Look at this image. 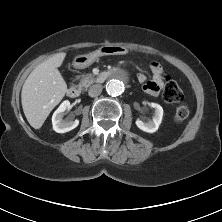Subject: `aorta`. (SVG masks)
<instances>
[{"instance_id":"1","label":"aorta","mask_w":222,"mask_h":222,"mask_svg":"<svg viewBox=\"0 0 222 222\" xmlns=\"http://www.w3.org/2000/svg\"><path fill=\"white\" fill-rule=\"evenodd\" d=\"M128 78L124 74H117L106 84V91L109 95L117 96L124 92Z\"/></svg>"}]
</instances>
